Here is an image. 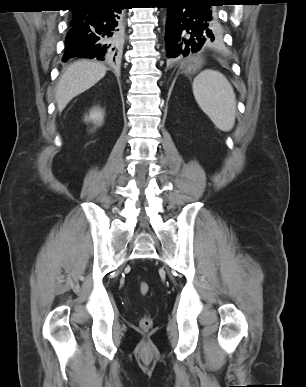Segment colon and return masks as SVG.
Instances as JSON below:
<instances>
[{
	"label": "colon",
	"instance_id": "obj_1",
	"mask_svg": "<svg viewBox=\"0 0 306 387\" xmlns=\"http://www.w3.org/2000/svg\"><path fill=\"white\" fill-rule=\"evenodd\" d=\"M138 289L142 295H147L150 291V286L147 282L141 281L138 284ZM139 324L143 330H149L153 325V321L150 317L145 316V317L141 318Z\"/></svg>",
	"mask_w": 306,
	"mask_h": 387
}]
</instances>
